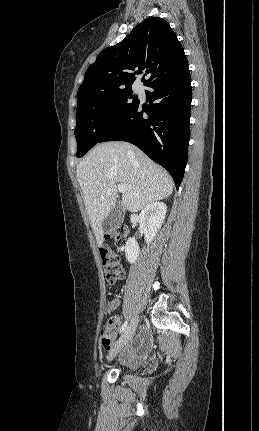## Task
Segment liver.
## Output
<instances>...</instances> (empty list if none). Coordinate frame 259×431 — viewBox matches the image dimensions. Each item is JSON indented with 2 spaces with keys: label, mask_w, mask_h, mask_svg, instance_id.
<instances>
[{
  "label": "liver",
  "mask_w": 259,
  "mask_h": 431,
  "mask_svg": "<svg viewBox=\"0 0 259 431\" xmlns=\"http://www.w3.org/2000/svg\"><path fill=\"white\" fill-rule=\"evenodd\" d=\"M77 179L98 246L104 242L102 223L117 203V184L127 190L119 201L123 210L138 212L170 196V174L137 147L126 142L96 145L78 164Z\"/></svg>",
  "instance_id": "1"
}]
</instances>
